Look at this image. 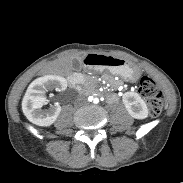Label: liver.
Masks as SVG:
<instances>
[{"label": "liver", "mask_w": 183, "mask_h": 183, "mask_svg": "<svg viewBox=\"0 0 183 183\" xmlns=\"http://www.w3.org/2000/svg\"><path fill=\"white\" fill-rule=\"evenodd\" d=\"M72 69L71 59L61 61L56 64L54 72L59 75H67Z\"/></svg>", "instance_id": "obj_1"}]
</instances>
